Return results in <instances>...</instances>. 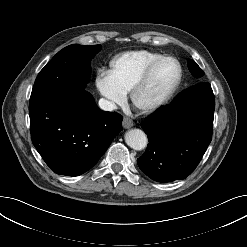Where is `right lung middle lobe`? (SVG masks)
Listing matches in <instances>:
<instances>
[{
  "label": "right lung middle lobe",
  "instance_id": "right-lung-middle-lobe-1",
  "mask_svg": "<svg viewBox=\"0 0 247 247\" xmlns=\"http://www.w3.org/2000/svg\"><path fill=\"white\" fill-rule=\"evenodd\" d=\"M101 50V45H69L59 51L38 74L31 96L54 88L84 90L90 78V60Z\"/></svg>",
  "mask_w": 247,
  "mask_h": 247
}]
</instances>
